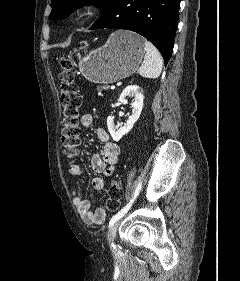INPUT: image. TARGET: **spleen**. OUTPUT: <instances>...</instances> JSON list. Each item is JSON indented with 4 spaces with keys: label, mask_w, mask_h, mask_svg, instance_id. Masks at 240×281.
<instances>
[{
    "label": "spleen",
    "mask_w": 240,
    "mask_h": 281,
    "mask_svg": "<svg viewBox=\"0 0 240 281\" xmlns=\"http://www.w3.org/2000/svg\"><path fill=\"white\" fill-rule=\"evenodd\" d=\"M145 57L138 73L145 78L155 79L161 74L163 60L157 48L149 41L145 40Z\"/></svg>",
    "instance_id": "obj_1"
}]
</instances>
